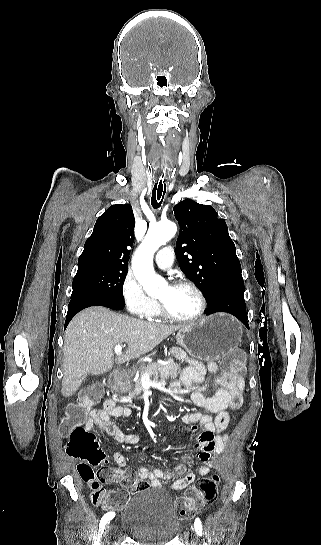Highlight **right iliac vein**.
I'll list each match as a JSON object with an SVG mask.
<instances>
[{"label": "right iliac vein", "instance_id": "63e3f726", "mask_svg": "<svg viewBox=\"0 0 321 545\" xmlns=\"http://www.w3.org/2000/svg\"><path fill=\"white\" fill-rule=\"evenodd\" d=\"M110 529H111V525L108 523V524L106 525V527H105V534H104L105 537L108 535Z\"/></svg>", "mask_w": 321, "mask_h": 545}]
</instances>
